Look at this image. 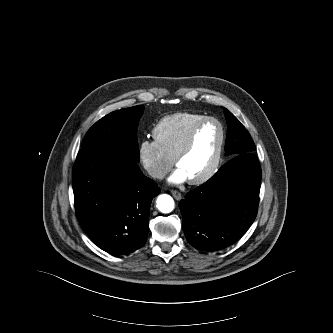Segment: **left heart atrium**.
Masks as SVG:
<instances>
[{"label": "left heart atrium", "mask_w": 333, "mask_h": 333, "mask_svg": "<svg viewBox=\"0 0 333 333\" xmlns=\"http://www.w3.org/2000/svg\"><path fill=\"white\" fill-rule=\"evenodd\" d=\"M186 181H188L186 175L179 168H177L169 178V182L173 184H181Z\"/></svg>", "instance_id": "1"}]
</instances>
